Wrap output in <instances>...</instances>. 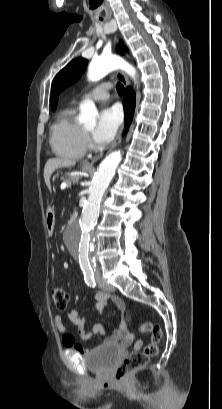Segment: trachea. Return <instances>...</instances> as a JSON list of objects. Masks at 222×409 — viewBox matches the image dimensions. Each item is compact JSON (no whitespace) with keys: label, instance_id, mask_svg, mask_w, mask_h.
<instances>
[{"label":"trachea","instance_id":"trachea-1","mask_svg":"<svg viewBox=\"0 0 222 409\" xmlns=\"http://www.w3.org/2000/svg\"><path fill=\"white\" fill-rule=\"evenodd\" d=\"M117 91L119 93V95L123 96L124 95V87L121 83H117Z\"/></svg>","mask_w":222,"mask_h":409}]
</instances>
